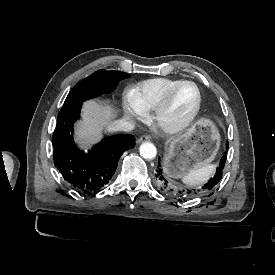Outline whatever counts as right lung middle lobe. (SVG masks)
Listing matches in <instances>:
<instances>
[{
	"label": "right lung middle lobe",
	"mask_w": 275,
	"mask_h": 275,
	"mask_svg": "<svg viewBox=\"0 0 275 275\" xmlns=\"http://www.w3.org/2000/svg\"><path fill=\"white\" fill-rule=\"evenodd\" d=\"M129 77L130 75L125 72L98 70L71 90L63 106L83 103L85 100L111 92L119 81Z\"/></svg>",
	"instance_id": "right-lung-middle-lobe-1"
}]
</instances>
